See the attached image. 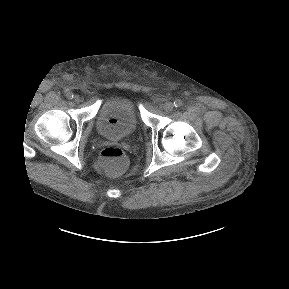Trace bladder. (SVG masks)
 Segmentation results:
<instances>
[{"label": "bladder", "mask_w": 289, "mask_h": 289, "mask_svg": "<svg viewBox=\"0 0 289 289\" xmlns=\"http://www.w3.org/2000/svg\"><path fill=\"white\" fill-rule=\"evenodd\" d=\"M95 126L99 135L109 140L133 137L139 128V117L134 101L125 96L107 98L97 111Z\"/></svg>", "instance_id": "1"}]
</instances>
